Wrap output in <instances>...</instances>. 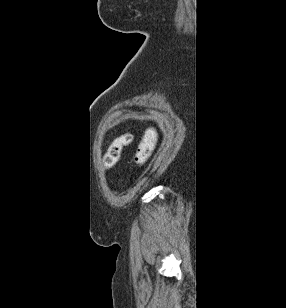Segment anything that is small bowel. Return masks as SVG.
Returning a JSON list of instances; mask_svg holds the SVG:
<instances>
[{
	"label": "small bowel",
	"instance_id": "1",
	"mask_svg": "<svg viewBox=\"0 0 286 308\" xmlns=\"http://www.w3.org/2000/svg\"><path fill=\"white\" fill-rule=\"evenodd\" d=\"M156 138H157L156 132H155L154 130H149V131L146 133V135H145V137H144L143 140H145V139H152L153 141H155Z\"/></svg>",
	"mask_w": 286,
	"mask_h": 308
}]
</instances>
